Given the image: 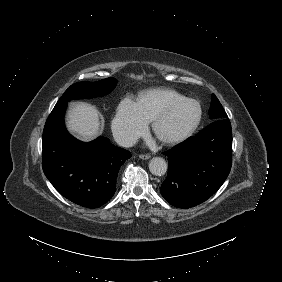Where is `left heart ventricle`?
Masks as SVG:
<instances>
[{"label":"left heart ventricle","instance_id":"left-heart-ventricle-1","mask_svg":"<svg viewBox=\"0 0 282 282\" xmlns=\"http://www.w3.org/2000/svg\"><path fill=\"white\" fill-rule=\"evenodd\" d=\"M198 113L194 102H188L174 110L163 122L161 131L165 135H173L185 127Z\"/></svg>","mask_w":282,"mask_h":282}]
</instances>
